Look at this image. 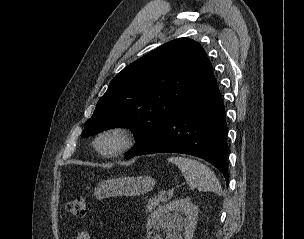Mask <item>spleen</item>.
I'll return each mask as SVG.
<instances>
[{"label": "spleen", "instance_id": "3e777b00", "mask_svg": "<svg viewBox=\"0 0 304 239\" xmlns=\"http://www.w3.org/2000/svg\"><path fill=\"white\" fill-rule=\"evenodd\" d=\"M168 161L180 168L186 182L191 188L221 194L222 189L215 174L201 162L178 156L171 157Z\"/></svg>", "mask_w": 304, "mask_h": 239}]
</instances>
